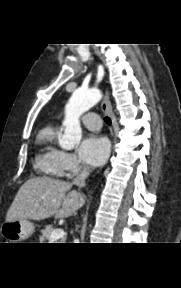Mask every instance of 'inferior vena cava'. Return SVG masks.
Here are the masks:
<instances>
[{
  "instance_id": "602c4592",
  "label": "inferior vena cava",
  "mask_w": 181,
  "mask_h": 288,
  "mask_svg": "<svg viewBox=\"0 0 181 288\" xmlns=\"http://www.w3.org/2000/svg\"><path fill=\"white\" fill-rule=\"evenodd\" d=\"M89 169L88 167H85L81 173L73 180V184L77 185L78 187H84L85 186V180L89 176Z\"/></svg>"
}]
</instances>
